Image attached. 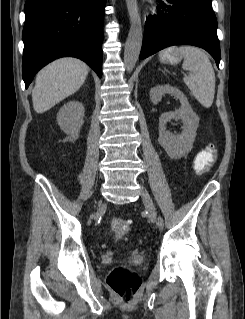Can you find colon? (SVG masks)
Returning <instances> with one entry per match:
<instances>
[{
    "instance_id": "obj_1",
    "label": "colon",
    "mask_w": 245,
    "mask_h": 319,
    "mask_svg": "<svg viewBox=\"0 0 245 319\" xmlns=\"http://www.w3.org/2000/svg\"><path fill=\"white\" fill-rule=\"evenodd\" d=\"M216 158V149L209 146L200 152L194 162V171L197 175L209 171ZM110 226L115 236L124 237L130 230V224L122 218H113ZM107 285L123 301L129 302L137 294L141 280L131 270L126 267L118 266L111 270L107 276Z\"/></svg>"
}]
</instances>
